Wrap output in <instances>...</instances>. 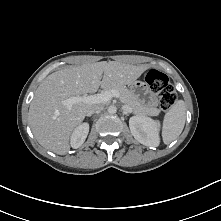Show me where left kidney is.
<instances>
[{
	"instance_id": "obj_1",
	"label": "left kidney",
	"mask_w": 221,
	"mask_h": 221,
	"mask_svg": "<svg viewBox=\"0 0 221 221\" xmlns=\"http://www.w3.org/2000/svg\"><path fill=\"white\" fill-rule=\"evenodd\" d=\"M129 127L134 138L141 144L149 147L159 145V125L155 120L142 115L132 116Z\"/></svg>"
}]
</instances>
